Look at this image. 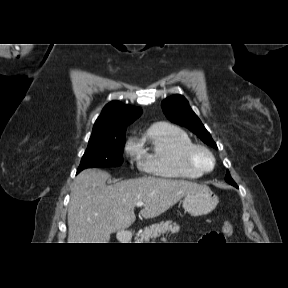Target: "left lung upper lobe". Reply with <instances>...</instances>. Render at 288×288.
I'll return each instance as SVG.
<instances>
[{
    "label": "left lung upper lobe",
    "mask_w": 288,
    "mask_h": 288,
    "mask_svg": "<svg viewBox=\"0 0 288 288\" xmlns=\"http://www.w3.org/2000/svg\"><path fill=\"white\" fill-rule=\"evenodd\" d=\"M162 109L169 120L184 126L195 133L204 143L217 149L210 133L205 129L197 115L192 111L188 101L181 95H173L162 101ZM226 182H234L227 171Z\"/></svg>",
    "instance_id": "obj_1"
}]
</instances>
